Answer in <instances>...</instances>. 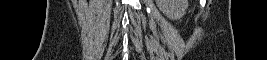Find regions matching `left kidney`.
Listing matches in <instances>:
<instances>
[{
  "label": "left kidney",
  "instance_id": "1",
  "mask_svg": "<svg viewBox=\"0 0 267 60\" xmlns=\"http://www.w3.org/2000/svg\"><path fill=\"white\" fill-rule=\"evenodd\" d=\"M160 11L171 20L181 19L188 8L187 0H155Z\"/></svg>",
  "mask_w": 267,
  "mask_h": 60
}]
</instances>
